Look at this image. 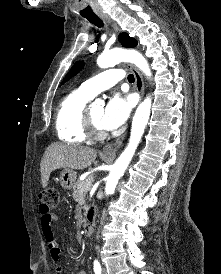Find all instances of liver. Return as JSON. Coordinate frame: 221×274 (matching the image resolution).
<instances>
[{"label":"liver","mask_w":221,"mask_h":274,"mask_svg":"<svg viewBox=\"0 0 221 274\" xmlns=\"http://www.w3.org/2000/svg\"><path fill=\"white\" fill-rule=\"evenodd\" d=\"M97 152L83 146L53 143L46 149L40 164L41 184L46 188L50 174L56 169L83 170L96 159Z\"/></svg>","instance_id":"obj_1"}]
</instances>
